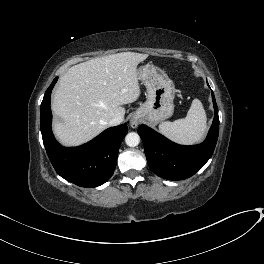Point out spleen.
Segmentation results:
<instances>
[{"label": "spleen", "instance_id": "spleen-1", "mask_svg": "<svg viewBox=\"0 0 264 264\" xmlns=\"http://www.w3.org/2000/svg\"><path fill=\"white\" fill-rule=\"evenodd\" d=\"M206 122V112L201 101L194 99L184 119L161 123L159 132L176 143L191 145L204 137Z\"/></svg>", "mask_w": 264, "mask_h": 264}]
</instances>
